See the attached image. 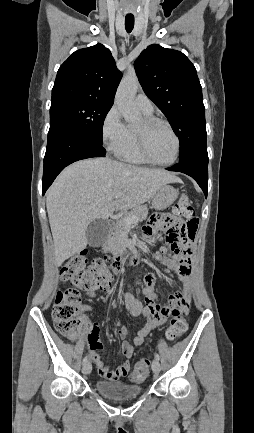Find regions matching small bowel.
Instances as JSON below:
<instances>
[{
  "instance_id": "small-bowel-1",
  "label": "small bowel",
  "mask_w": 254,
  "mask_h": 433,
  "mask_svg": "<svg viewBox=\"0 0 254 433\" xmlns=\"http://www.w3.org/2000/svg\"><path fill=\"white\" fill-rule=\"evenodd\" d=\"M172 221L169 215H160L152 217L148 225L144 228L143 233L145 238L150 239L154 233L162 228H167L171 225ZM160 264L170 270L175 271L181 281L184 283V288L171 296L169 304H160L157 302L158 293L155 291L156 274L154 272L148 273L144 277L143 294L145 296V303L141 304L133 300L130 295L124 298L125 307L132 317H143L146 321L145 324L137 331V333L129 342L126 340L128 329L121 327L117 330L118 336L121 338L120 352L127 358L126 361L121 363L116 369L110 370L105 366L101 359L100 351L103 349V344L100 341V329L98 323L92 324L91 333L89 335V349L90 359L97 367L99 375L107 380L116 381L126 377L130 371V361L133 350L135 347L140 346L145 337L156 327L164 325L169 317L170 309L173 305L181 302H188L189 286L192 278V252L191 247L186 255H173V256H160ZM113 278L101 285L98 290L108 291L113 285ZM90 297H94V292L87 293ZM89 310V307H85ZM87 322L86 319H84Z\"/></svg>"
}]
</instances>
